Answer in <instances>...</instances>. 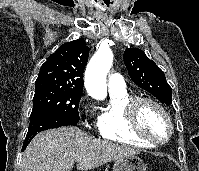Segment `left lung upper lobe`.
I'll list each match as a JSON object with an SVG mask.
<instances>
[{
	"label": "left lung upper lobe",
	"mask_w": 199,
	"mask_h": 171,
	"mask_svg": "<svg viewBox=\"0 0 199 171\" xmlns=\"http://www.w3.org/2000/svg\"><path fill=\"white\" fill-rule=\"evenodd\" d=\"M124 63L133 82L150 92L160 102L172 103V89L166 81L164 72L137 48H128L124 52Z\"/></svg>",
	"instance_id": "1"
}]
</instances>
